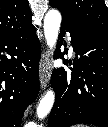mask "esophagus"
I'll return each instance as SVG.
<instances>
[{
    "instance_id": "1",
    "label": "esophagus",
    "mask_w": 108,
    "mask_h": 127,
    "mask_svg": "<svg viewBox=\"0 0 108 127\" xmlns=\"http://www.w3.org/2000/svg\"><path fill=\"white\" fill-rule=\"evenodd\" d=\"M50 62V54L49 52H43L40 64H39V78H40V86L41 88H46L47 84L50 80V71L47 68Z\"/></svg>"
}]
</instances>
